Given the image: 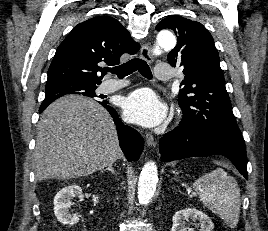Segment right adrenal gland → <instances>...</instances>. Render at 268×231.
Segmentation results:
<instances>
[{
	"instance_id": "right-adrenal-gland-1",
	"label": "right adrenal gland",
	"mask_w": 268,
	"mask_h": 231,
	"mask_svg": "<svg viewBox=\"0 0 268 231\" xmlns=\"http://www.w3.org/2000/svg\"><path fill=\"white\" fill-rule=\"evenodd\" d=\"M104 171H110L111 174H114L113 164H110L107 168L101 170V172H104Z\"/></svg>"
}]
</instances>
